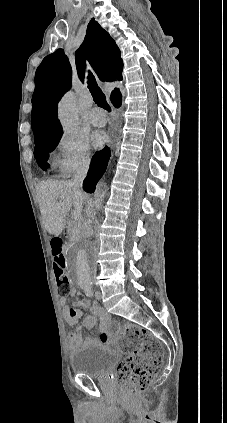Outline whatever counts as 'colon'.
<instances>
[{
	"label": "colon",
	"mask_w": 227,
	"mask_h": 423,
	"mask_svg": "<svg viewBox=\"0 0 227 423\" xmlns=\"http://www.w3.org/2000/svg\"><path fill=\"white\" fill-rule=\"evenodd\" d=\"M54 257V274L60 293L71 291V283L65 274L63 241L55 237L51 241ZM120 349L126 358L119 364L115 379L123 393L139 395L152 385L163 362L161 342L147 329L133 324L119 329Z\"/></svg>",
	"instance_id": "1"
}]
</instances>
